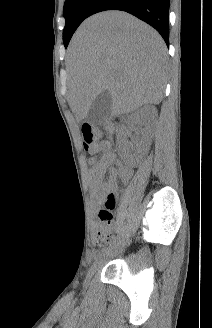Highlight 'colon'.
Here are the masks:
<instances>
[{
    "label": "colon",
    "instance_id": "obj_1",
    "mask_svg": "<svg viewBox=\"0 0 212 328\" xmlns=\"http://www.w3.org/2000/svg\"><path fill=\"white\" fill-rule=\"evenodd\" d=\"M81 134L83 146L86 150L94 149L95 144L100 139V132L91 126L90 124H83L81 126ZM116 204V193L111 192L107 196V200L105 202V208L99 212V228L96 233V241L99 244H108L110 243L114 235L111 232V224H112V213L111 211L114 209Z\"/></svg>",
    "mask_w": 212,
    "mask_h": 328
}]
</instances>
